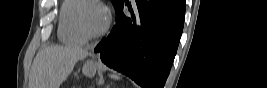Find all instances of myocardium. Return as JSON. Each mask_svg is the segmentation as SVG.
<instances>
[{
	"label": "myocardium",
	"mask_w": 267,
	"mask_h": 88,
	"mask_svg": "<svg viewBox=\"0 0 267 88\" xmlns=\"http://www.w3.org/2000/svg\"><path fill=\"white\" fill-rule=\"evenodd\" d=\"M87 3L96 4L99 7H101L103 11L105 12V15H106L105 24L97 32H90L89 30H87V28L84 25L83 18H82V9L84 5ZM110 23H111V15H110L109 10L105 6H103L101 3H99L98 1H83V3H81L80 6L77 8V24L82 35L87 39H93V38H98V37L103 36L108 31L110 27Z\"/></svg>",
	"instance_id": "myocardium-1"
}]
</instances>
